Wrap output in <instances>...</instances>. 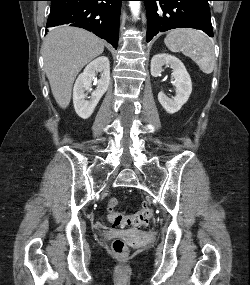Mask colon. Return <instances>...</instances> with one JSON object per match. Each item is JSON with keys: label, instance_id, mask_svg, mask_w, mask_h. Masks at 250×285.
<instances>
[{"label": "colon", "instance_id": "colon-1", "mask_svg": "<svg viewBox=\"0 0 250 285\" xmlns=\"http://www.w3.org/2000/svg\"><path fill=\"white\" fill-rule=\"evenodd\" d=\"M117 206L118 200L116 198H110L106 206L107 219L116 227H145L154 215V211L149 205H144L140 210L132 214L117 212ZM111 247L113 253L118 257H124L128 253L127 244L122 239H115Z\"/></svg>", "mask_w": 250, "mask_h": 285}]
</instances>
